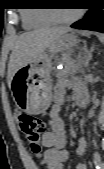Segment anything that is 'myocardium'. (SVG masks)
I'll list each match as a JSON object with an SVG mask.
<instances>
[{"label": "myocardium", "mask_w": 104, "mask_h": 169, "mask_svg": "<svg viewBox=\"0 0 104 169\" xmlns=\"http://www.w3.org/2000/svg\"><path fill=\"white\" fill-rule=\"evenodd\" d=\"M82 14H83V12L81 10H78L76 13H74L70 17H60L54 11V12H49L48 16L55 23L69 24V23H73L74 21H76L77 19H79Z\"/></svg>", "instance_id": "myocardium-1"}]
</instances>
